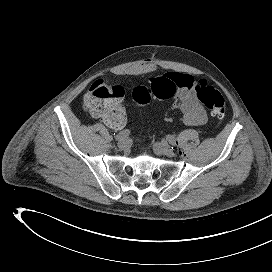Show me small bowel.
<instances>
[{
	"label": "small bowel",
	"mask_w": 272,
	"mask_h": 272,
	"mask_svg": "<svg viewBox=\"0 0 272 272\" xmlns=\"http://www.w3.org/2000/svg\"><path fill=\"white\" fill-rule=\"evenodd\" d=\"M165 77L171 79L177 85V92L172 109L181 112V121L190 126L204 125L207 122V115L196 94V87L201 81L193 79V77L188 74L177 72L167 73ZM120 101L119 112L111 118L103 119L104 122L113 129H121L126 124V114ZM165 120L171 122L172 117L167 114Z\"/></svg>",
	"instance_id": "1"
}]
</instances>
